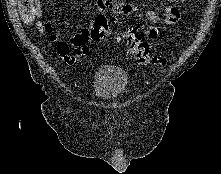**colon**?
<instances>
[{"mask_svg":"<svg viewBox=\"0 0 221 174\" xmlns=\"http://www.w3.org/2000/svg\"><path fill=\"white\" fill-rule=\"evenodd\" d=\"M40 0H18L19 12L25 24H32L39 14ZM111 34L109 21L105 15L95 18L93 24L86 28L81 34V40L100 42ZM115 41L124 42L128 47L129 54L142 65L163 64L164 58L152 56L147 36L139 25H130L125 31L115 35Z\"/></svg>","mask_w":221,"mask_h":174,"instance_id":"5ec220e1","label":"colon"}]
</instances>
